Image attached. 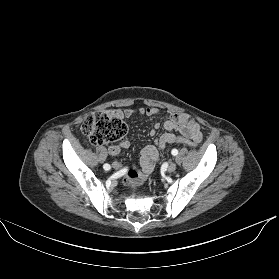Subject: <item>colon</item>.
I'll return each mask as SVG.
<instances>
[{"label": "colon", "instance_id": "colon-1", "mask_svg": "<svg viewBox=\"0 0 279 279\" xmlns=\"http://www.w3.org/2000/svg\"><path fill=\"white\" fill-rule=\"evenodd\" d=\"M127 131L125 123L113 112L96 111L88 114L82 125V132L92 145H101L121 139ZM176 143H182L190 147L198 144L194 141L179 137Z\"/></svg>", "mask_w": 279, "mask_h": 279}]
</instances>
